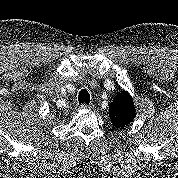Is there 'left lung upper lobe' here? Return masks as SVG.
<instances>
[{
    "mask_svg": "<svg viewBox=\"0 0 178 178\" xmlns=\"http://www.w3.org/2000/svg\"><path fill=\"white\" fill-rule=\"evenodd\" d=\"M109 116L115 127H123L131 123L136 116L133 100L128 92L122 91L109 105Z\"/></svg>",
    "mask_w": 178,
    "mask_h": 178,
    "instance_id": "5c2ea615",
    "label": "left lung upper lobe"
}]
</instances>
